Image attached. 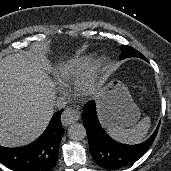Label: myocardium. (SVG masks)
Segmentation results:
<instances>
[{"instance_id":"obj_1","label":"myocardium","mask_w":171,"mask_h":171,"mask_svg":"<svg viewBox=\"0 0 171 171\" xmlns=\"http://www.w3.org/2000/svg\"><path fill=\"white\" fill-rule=\"evenodd\" d=\"M108 64L109 59L107 57H100L86 73L75 81L73 93L77 100L85 102L96 97L99 90V74Z\"/></svg>"}]
</instances>
